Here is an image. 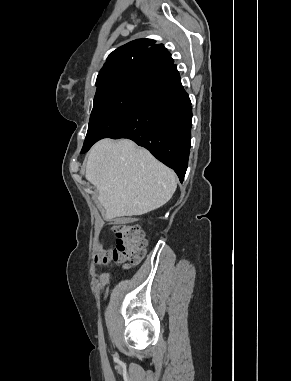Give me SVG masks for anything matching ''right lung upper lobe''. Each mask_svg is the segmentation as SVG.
<instances>
[{
  "label": "right lung upper lobe",
  "instance_id": "right-lung-upper-lobe-1",
  "mask_svg": "<svg viewBox=\"0 0 291 381\" xmlns=\"http://www.w3.org/2000/svg\"><path fill=\"white\" fill-rule=\"evenodd\" d=\"M173 62L171 54L162 44H155L152 39L131 41L108 56L97 77V91L112 87L128 78H143Z\"/></svg>",
  "mask_w": 291,
  "mask_h": 381
}]
</instances>
